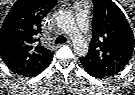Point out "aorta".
<instances>
[{
  "instance_id": "1",
  "label": "aorta",
  "mask_w": 135,
  "mask_h": 95,
  "mask_svg": "<svg viewBox=\"0 0 135 95\" xmlns=\"http://www.w3.org/2000/svg\"><path fill=\"white\" fill-rule=\"evenodd\" d=\"M80 41H81V42H80V43H81V45H83V47H85V46H84V44H85V43H84V40H83V38H82V37H80ZM78 46H79V45H78ZM78 49H79V47H78Z\"/></svg>"
}]
</instances>
